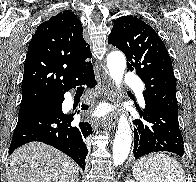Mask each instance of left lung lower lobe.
I'll list each match as a JSON object with an SVG mask.
<instances>
[{
    "instance_id": "obj_1",
    "label": "left lung lower lobe",
    "mask_w": 196,
    "mask_h": 182,
    "mask_svg": "<svg viewBox=\"0 0 196 182\" xmlns=\"http://www.w3.org/2000/svg\"><path fill=\"white\" fill-rule=\"evenodd\" d=\"M145 110L139 108L140 117L134 123V157L167 151L182 157L183 138L179 129L178 115L173 114L155 98L144 95Z\"/></svg>"
}]
</instances>
